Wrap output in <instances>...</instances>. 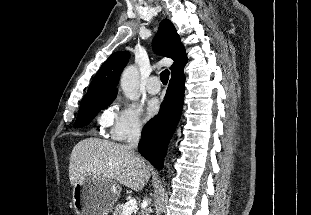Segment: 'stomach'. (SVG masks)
<instances>
[{
	"label": "stomach",
	"mask_w": 311,
	"mask_h": 215,
	"mask_svg": "<svg viewBox=\"0 0 311 215\" xmlns=\"http://www.w3.org/2000/svg\"><path fill=\"white\" fill-rule=\"evenodd\" d=\"M120 190V186L113 181L84 175L73 188L74 208L78 215H108Z\"/></svg>",
	"instance_id": "0dacf381"
}]
</instances>
